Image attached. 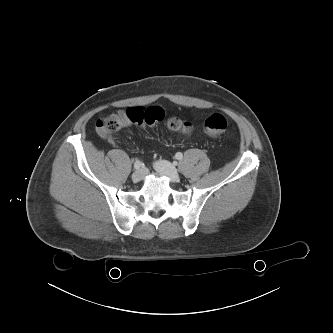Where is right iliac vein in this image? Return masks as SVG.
I'll return each instance as SVG.
<instances>
[{
  "mask_svg": "<svg viewBox=\"0 0 333 333\" xmlns=\"http://www.w3.org/2000/svg\"><path fill=\"white\" fill-rule=\"evenodd\" d=\"M144 177V170H137L132 174V181L133 182H139Z\"/></svg>",
  "mask_w": 333,
  "mask_h": 333,
  "instance_id": "1",
  "label": "right iliac vein"
}]
</instances>
